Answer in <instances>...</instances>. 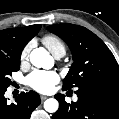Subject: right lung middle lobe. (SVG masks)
Instances as JSON below:
<instances>
[{
  "label": "right lung middle lobe",
  "instance_id": "obj_1",
  "mask_svg": "<svg viewBox=\"0 0 119 119\" xmlns=\"http://www.w3.org/2000/svg\"><path fill=\"white\" fill-rule=\"evenodd\" d=\"M20 68V59L9 60L0 58V90L7 89L12 84L10 76L12 72L18 71Z\"/></svg>",
  "mask_w": 119,
  "mask_h": 119
}]
</instances>
